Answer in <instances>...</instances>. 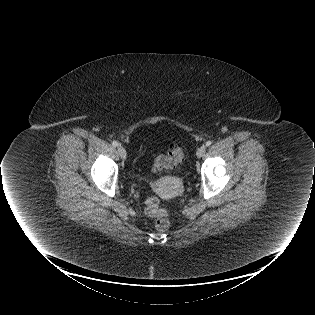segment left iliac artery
Instances as JSON below:
<instances>
[{"mask_svg":"<svg viewBox=\"0 0 315 315\" xmlns=\"http://www.w3.org/2000/svg\"><path fill=\"white\" fill-rule=\"evenodd\" d=\"M211 144H212L211 141H207V142H206V146H207V147H209Z\"/></svg>","mask_w":315,"mask_h":315,"instance_id":"obj_1","label":"left iliac artery"}]
</instances>
